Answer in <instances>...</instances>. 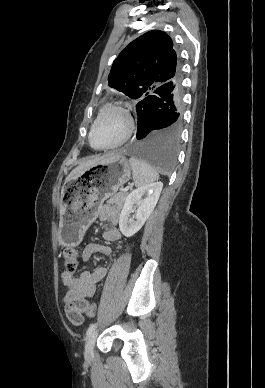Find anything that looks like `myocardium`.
Returning <instances> with one entry per match:
<instances>
[{"label":"myocardium","mask_w":265,"mask_h":388,"mask_svg":"<svg viewBox=\"0 0 265 388\" xmlns=\"http://www.w3.org/2000/svg\"><path fill=\"white\" fill-rule=\"evenodd\" d=\"M110 111H115V112H118L120 114L123 115V117L125 118V130L122 134V136L120 137V139L112 144V145H107V146H99L97 145L95 142H94V130H95V127L97 126L98 122L101 120V118L108 112ZM133 118L129 112L128 109L122 107V106H119V105H109L107 107H105L101 113L98 115V117L96 118V120L94 121L92 127H91V130L89 132V142L96 148H100V149H114V148H117V147H120L122 146L124 143L127 142V140L130 138V135H131V132H132V129H133Z\"/></svg>","instance_id":"1"}]
</instances>
